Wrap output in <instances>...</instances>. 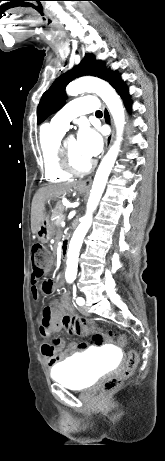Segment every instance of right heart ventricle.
<instances>
[{"label":"right heart ventricle","instance_id":"obj_1","mask_svg":"<svg viewBox=\"0 0 165 461\" xmlns=\"http://www.w3.org/2000/svg\"><path fill=\"white\" fill-rule=\"evenodd\" d=\"M64 132L52 124H46L40 130L39 149L43 161L44 177L49 182L66 181L71 176L63 171L58 163L57 148Z\"/></svg>","mask_w":165,"mask_h":461}]
</instances>
